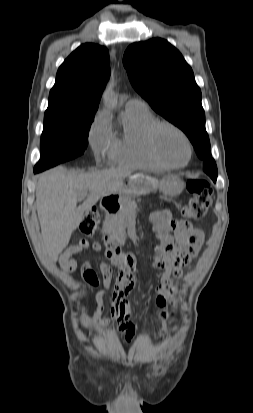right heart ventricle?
Segmentation results:
<instances>
[{
	"label": "right heart ventricle",
	"instance_id": "obj_1",
	"mask_svg": "<svg viewBox=\"0 0 253 413\" xmlns=\"http://www.w3.org/2000/svg\"><path fill=\"white\" fill-rule=\"evenodd\" d=\"M155 121L148 108L126 107L120 115V131L113 135L110 162L139 169L165 168L152 158L146 146V131Z\"/></svg>",
	"mask_w": 253,
	"mask_h": 413
}]
</instances>
